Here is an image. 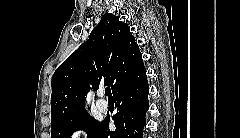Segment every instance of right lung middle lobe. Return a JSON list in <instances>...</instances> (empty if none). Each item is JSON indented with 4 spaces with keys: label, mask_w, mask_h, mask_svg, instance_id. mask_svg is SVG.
Listing matches in <instances>:
<instances>
[{
    "label": "right lung middle lobe",
    "mask_w": 240,
    "mask_h": 138,
    "mask_svg": "<svg viewBox=\"0 0 240 138\" xmlns=\"http://www.w3.org/2000/svg\"><path fill=\"white\" fill-rule=\"evenodd\" d=\"M101 124L102 122H98L90 117L85 110L70 120L51 125V137L71 138L74 131L83 129L87 131L89 138H94Z\"/></svg>",
    "instance_id": "right-lung-middle-lobe-1"
}]
</instances>
